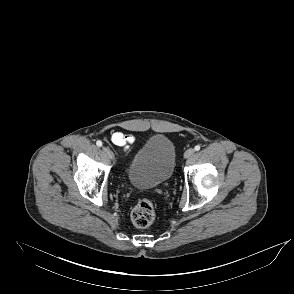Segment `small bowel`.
<instances>
[{
    "label": "small bowel",
    "instance_id": "c3829d8e",
    "mask_svg": "<svg viewBox=\"0 0 294 294\" xmlns=\"http://www.w3.org/2000/svg\"><path fill=\"white\" fill-rule=\"evenodd\" d=\"M135 136L132 134H125L122 132H114L111 136L112 143L117 146L121 147L125 150H128L130 146L135 142Z\"/></svg>",
    "mask_w": 294,
    "mask_h": 294
}]
</instances>
